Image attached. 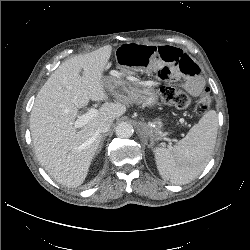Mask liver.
<instances>
[{
  "label": "liver",
  "mask_w": 250,
  "mask_h": 250,
  "mask_svg": "<svg viewBox=\"0 0 250 250\" xmlns=\"http://www.w3.org/2000/svg\"><path fill=\"white\" fill-rule=\"evenodd\" d=\"M112 47L106 45L91 53L63 62L38 92L30 115V131L36 157L59 184L80 186L89 171L101 142V122H112L126 108L109 101L103 72ZM82 71V75L80 74ZM92 101H105L98 114L82 129L74 127L78 109Z\"/></svg>",
  "instance_id": "1"
}]
</instances>
